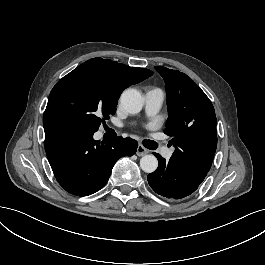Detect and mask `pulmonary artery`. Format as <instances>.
<instances>
[{
    "label": "pulmonary artery",
    "instance_id": "e3ab8cb5",
    "mask_svg": "<svg viewBox=\"0 0 265 265\" xmlns=\"http://www.w3.org/2000/svg\"><path fill=\"white\" fill-rule=\"evenodd\" d=\"M144 100L147 113L154 116L159 113V106L165 103L166 97L160 88L154 87L145 93Z\"/></svg>",
    "mask_w": 265,
    "mask_h": 265
}]
</instances>
